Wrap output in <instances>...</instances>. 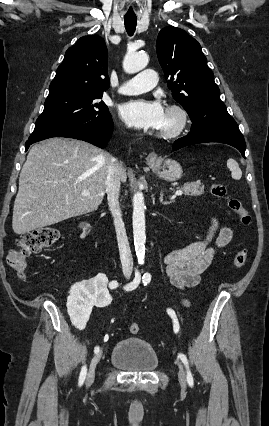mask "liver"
<instances>
[{
  "mask_svg": "<svg viewBox=\"0 0 269 426\" xmlns=\"http://www.w3.org/2000/svg\"><path fill=\"white\" fill-rule=\"evenodd\" d=\"M112 156L85 141L50 138L31 147L19 177L12 228L18 234L98 208ZM120 178L126 182L121 165ZM89 191L88 196L81 193Z\"/></svg>",
  "mask_w": 269,
  "mask_h": 426,
  "instance_id": "1",
  "label": "liver"
}]
</instances>
